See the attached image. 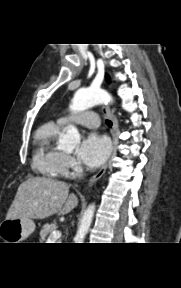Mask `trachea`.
Masks as SVG:
<instances>
[{"label":"trachea","mask_w":181,"mask_h":288,"mask_svg":"<svg viewBox=\"0 0 181 288\" xmlns=\"http://www.w3.org/2000/svg\"><path fill=\"white\" fill-rule=\"evenodd\" d=\"M106 124H107V126L111 127L112 126V121L106 120Z\"/></svg>","instance_id":"3493384b"}]
</instances>
